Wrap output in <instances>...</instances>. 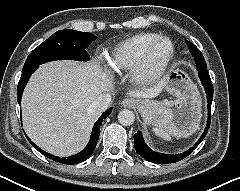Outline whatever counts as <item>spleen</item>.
<instances>
[{"label": "spleen", "mask_w": 240, "mask_h": 191, "mask_svg": "<svg viewBox=\"0 0 240 191\" xmlns=\"http://www.w3.org/2000/svg\"><path fill=\"white\" fill-rule=\"evenodd\" d=\"M151 124L153 126L154 133L167 141L171 140V136L188 137L198 129L197 126V128L189 130H179L172 122L171 116L165 110L160 111V113L153 118Z\"/></svg>", "instance_id": "1"}]
</instances>
